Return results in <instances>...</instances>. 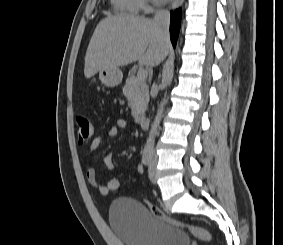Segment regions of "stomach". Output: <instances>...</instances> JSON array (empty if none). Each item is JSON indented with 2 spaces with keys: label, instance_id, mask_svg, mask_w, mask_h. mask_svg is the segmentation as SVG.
Instances as JSON below:
<instances>
[{
  "label": "stomach",
  "instance_id": "stomach-1",
  "mask_svg": "<svg viewBox=\"0 0 283 245\" xmlns=\"http://www.w3.org/2000/svg\"><path fill=\"white\" fill-rule=\"evenodd\" d=\"M99 79L107 87H114L121 83L122 72L118 67H106L99 71Z\"/></svg>",
  "mask_w": 283,
  "mask_h": 245
}]
</instances>
